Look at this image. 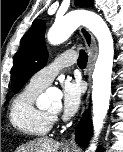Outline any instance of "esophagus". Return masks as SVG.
<instances>
[{
  "instance_id": "34e87169",
  "label": "esophagus",
  "mask_w": 123,
  "mask_h": 152,
  "mask_svg": "<svg viewBox=\"0 0 123 152\" xmlns=\"http://www.w3.org/2000/svg\"><path fill=\"white\" fill-rule=\"evenodd\" d=\"M79 31L84 40V43L88 52V62H87L85 73L88 76V81L90 82L91 74H92V71L97 59V55H98V48H97L95 38L93 37V35L90 33V31L87 28L82 26L80 27ZM89 95H90V88H88L87 93H86V103L88 102ZM63 145L65 147H73L75 145L74 134H72L70 138L66 139L63 142Z\"/></svg>"
}]
</instances>
